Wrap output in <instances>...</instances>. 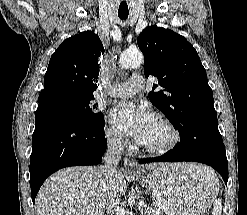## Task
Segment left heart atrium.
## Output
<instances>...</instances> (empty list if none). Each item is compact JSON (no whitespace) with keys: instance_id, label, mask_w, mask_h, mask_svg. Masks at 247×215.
<instances>
[{"instance_id":"obj_1","label":"left heart atrium","mask_w":247,"mask_h":215,"mask_svg":"<svg viewBox=\"0 0 247 215\" xmlns=\"http://www.w3.org/2000/svg\"><path fill=\"white\" fill-rule=\"evenodd\" d=\"M109 118L119 132L132 136L141 144L158 122L156 115L146 107L129 102L114 107Z\"/></svg>"}]
</instances>
